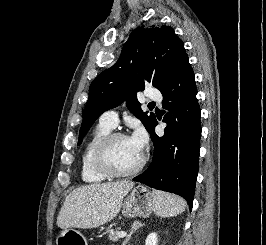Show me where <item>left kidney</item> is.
<instances>
[{
	"instance_id": "left-kidney-1",
	"label": "left kidney",
	"mask_w": 266,
	"mask_h": 245,
	"mask_svg": "<svg viewBox=\"0 0 266 245\" xmlns=\"http://www.w3.org/2000/svg\"><path fill=\"white\" fill-rule=\"evenodd\" d=\"M157 243H158V237L156 233H150V235H148L145 241V245H157Z\"/></svg>"
}]
</instances>
